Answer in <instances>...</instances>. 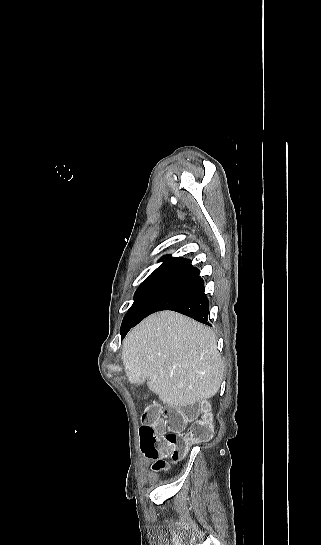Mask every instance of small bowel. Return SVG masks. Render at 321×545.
<instances>
[{
	"instance_id": "1",
	"label": "small bowel",
	"mask_w": 321,
	"mask_h": 545,
	"mask_svg": "<svg viewBox=\"0 0 321 545\" xmlns=\"http://www.w3.org/2000/svg\"><path fill=\"white\" fill-rule=\"evenodd\" d=\"M161 462H163V460L158 459V460L154 463L153 466H154V469H155V470H159V469L157 468V464H159V463H161Z\"/></svg>"
}]
</instances>
